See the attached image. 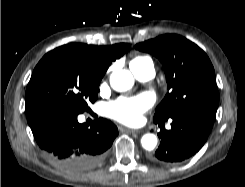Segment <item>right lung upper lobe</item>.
<instances>
[{"label": "right lung upper lobe", "instance_id": "right-lung-upper-lobe-1", "mask_svg": "<svg viewBox=\"0 0 245 187\" xmlns=\"http://www.w3.org/2000/svg\"><path fill=\"white\" fill-rule=\"evenodd\" d=\"M87 55L98 65L99 69L104 72L108 69L112 61L120 58L130 49L126 43L115 44L112 46H91L79 44Z\"/></svg>", "mask_w": 245, "mask_h": 187}]
</instances>
